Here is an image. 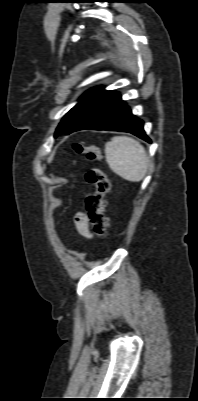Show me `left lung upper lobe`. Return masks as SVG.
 Instances as JSON below:
<instances>
[{
  "label": "left lung upper lobe",
  "mask_w": 198,
  "mask_h": 401,
  "mask_svg": "<svg viewBox=\"0 0 198 401\" xmlns=\"http://www.w3.org/2000/svg\"><path fill=\"white\" fill-rule=\"evenodd\" d=\"M103 91V87H96L87 91L80 101L63 117L56 129L55 137L66 132L85 108Z\"/></svg>",
  "instance_id": "left-lung-upper-lobe-1"
}]
</instances>
